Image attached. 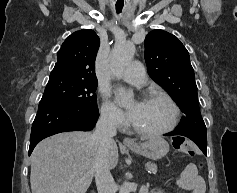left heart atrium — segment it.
Returning <instances> with one entry per match:
<instances>
[{
    "label": "left heart atrium",
    "mask_w": 237,
    "mask_h": 193,
    "mask_svg": "<svg viewBox=\"0 0 237 193\" xmlns=\"http://www.w3.org/2000/svg\"><path fill=\"white\" fill-rule=\"evenodd\" d=\"M133 116H134V111H133V110H130V111H129V117H130L131 120H132Z\"/></svg>",
    "instance_id": "left-heart-atrium-1"
}]
</instances>
